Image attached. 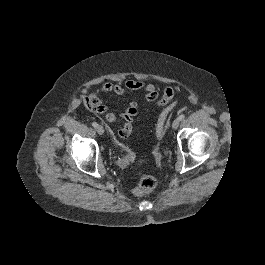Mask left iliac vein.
Returning a JSON list of instances; mask_svg holds the SVG:
<instances>
[{"mask_svg": "<svg viewBox=\"0 0 265 265\" xmlns=\"http://www.w3.org/2000/svg\"><path fill=\"white\" fill-rule=\"evenodd\" d=\"M179 119H175L174 121H173V123H172V128L175 130V129H177L178 128V126H179Z\"/></svg>", "mask_w": 265, "mask_h": 265, "instance_id": "left-iliac-vein-1", "label": "left iliac vein"}]
</instances>
